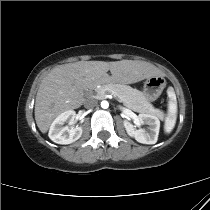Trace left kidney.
I'll return each instance as SVG.
<instances>
[{
  "label": "left kidney",
  "instance_id": "1",
  "mask_svg": "<svg viewBox=\"0 0 210 210\" xmlns=\"http://www.w3.org/2000/svg\"><path fill=\"white\" fill-rule=\"evenodd\" d=\"M137 124L148 125V131L144 129H135L134 126L128 121H124V127L129 136L135 138V140L142 144H155L158 140V134L160 129V121L157 116L151 114H139L137 118Z\"/></svg>",
  "mask_w": 210,
  "mask_h": 210
}]
</instances>
